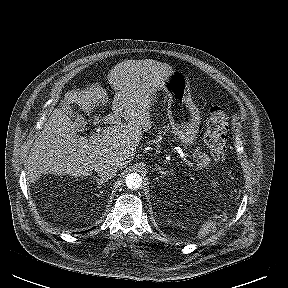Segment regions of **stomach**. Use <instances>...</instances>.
<instances>
[{
  "label": "stomach",
  "instance_id": "obj_1",
  "mask_svg": "<svg viewBox=\"0 0 288 288\" xmlns=\"http://www.w3.org/2000/svg\"><path fill=\"white\" fill-rule=\"evenodd\" d=\"M161 90L168 98V118L177 140L184 146L194 145L199 132L200 113L193 103L187 77L173 71Z\"/></svg>",
  "mask_w": 288,
  "mask_h": 288
}]
</instances>
